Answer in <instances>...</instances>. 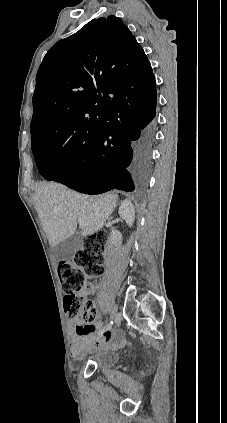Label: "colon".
Listing matches in <instances>:
<instances>
[{
	"label": "colon",
	"mask_w": 227,
	"mask_h": 423,
	"mask_svg": "<svg viewBox=\"0 0 227 423\" xmlns=\"http://www.w3.org/2000/svg\"><path fill=\"white\" fill-rule=\"evenodd\" d=\"M106 245L107 234L98 232L85 240L84 249L78 251L72 260H63L58 264L65 293L64 309L73 321L74 331H80V324L89 323L95 317L83 290L87 287L86 278L102 273Z\"/></svg>",
	"instance_id": "5ec220e1"
}]
</instances>
